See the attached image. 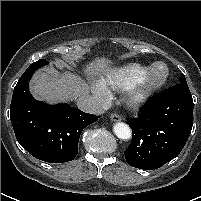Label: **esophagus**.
Returning <instances> with one entry per match:
<instances>
[{
  "label": "esophagus",
  "mask_w": 201,
  "mask_h": 201,
  "mask_svg": "<svg viewBox=\"0 0 201 201\" xmlns=\"http://www.w3.org/2000/svg\"><path fill=\"white\" fill-rule=\"evenodd\" d=\"M110 119L113 122H119V121H121L122 118L120 115L114 113V114H111Z\"/></svg>",
  "instance_id": "esophagus-1"
}]
</instances>
